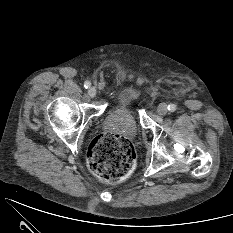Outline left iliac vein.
Here are the masks:
<instances>
[{
    "label": "left iliac vein",
    "instance_id": "left-iliac-vein-1",
    "mask_svg": "<svg viewBox=\"0 0 233 233\" xmlns=\"http://www.w3.org/2000/svg\"><path fill=\"white\" fill-rule=\"evenodd\" d=\"M168 112V107L165 103H161L159 104L158 108H157V113L161 116L166 115Z\"/></svg>",
    "mask_w": 233,
    "mask_h": 233
}]
</instances>
